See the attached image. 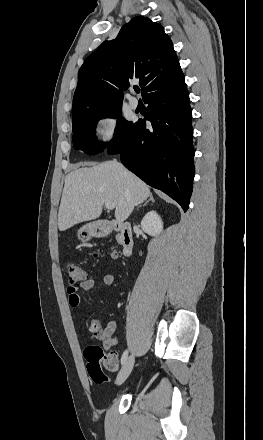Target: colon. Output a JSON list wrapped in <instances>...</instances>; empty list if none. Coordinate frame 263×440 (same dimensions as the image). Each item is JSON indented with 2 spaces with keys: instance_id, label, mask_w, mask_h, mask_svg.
I'll list each match as a JSON object with an SVG mask.
<instances>
[{
  "instance_id": "1",
  "label": "colon",
  "mask_w": 263,
  "mask_h": 440,
  "mask_svg": "<svg viewBox=\"0 0 263 440\" xmlns=\"http://www.w3.org/2000/svg\"><path fill=\"white\" fill-rule=\"evenodd\" d=\"M65 273L71 286L86 279L85 269L78 263L68 262L65 265ZM86 368L90 378L96 383L107 381L105 370L115 372L119 365L118 354L110 352L105 354L98 345H88L84 350Z\"/></svg>"
}]
</instances>
